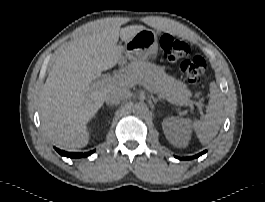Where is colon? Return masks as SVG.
<instances>
[{"instance_id":"colon-1","label":"colon","mask_w":265,"mask_h":202,"mask_svg":"<svg viewBox=\"0 0 265 202\" xmlns=\"http://www.w3.org/2000/svg\"><path fill=\"white\" fill-rule=\"evenodd\" d=\"M160 46L164 59L178 62L181 72L189 83H198L203 78L206 62L198 55L190 57V48L186 43L165 33L160 39Z\"/></svg>"}]
</instances>
